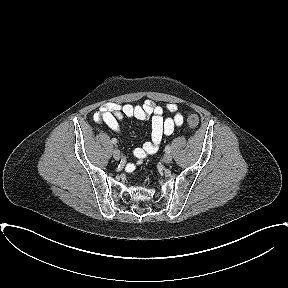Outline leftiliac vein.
Here are the masks:
<instances>
[{
  "label": "left iliac vein",
  "instance_id": "obj_1",
  "mask_svg": "<svg viewBox=\"0 0 288 288\" xmlns=\"http://www.w3.org/2000/svg\"><path fill=\"white\" fill-rule=\"evenodd\" d=\"M163 159L166 164H169L172 161V155L170 153H166Z\"/></svg>",
  "mask_w": 288,
  "mask_h": 288
}]
</instances>
